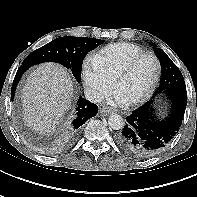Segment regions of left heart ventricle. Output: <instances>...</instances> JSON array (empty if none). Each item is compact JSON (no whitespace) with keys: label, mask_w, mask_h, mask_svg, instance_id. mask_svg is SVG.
<instances>
[{"label":"left heart ventricle","mask_w":197,"mask_h":197,"mask_svg":"<svg viewBox=\"0 0 197 197\" xmlns=\"http://www.w3.org/2000/svg\"><path fill=\"white\" fill-rule=\"evenodd\" d=\"M156 71L155 61L146 58L139 62L128 76L118 82L116 90L125 101L133 100L147 92L154 81Z\"/></svg>","instance_id":"1"}]
</instances>
